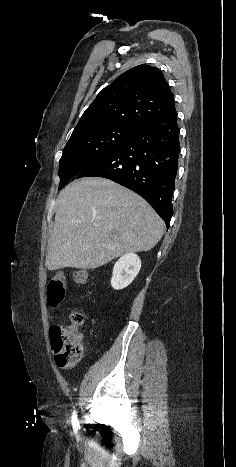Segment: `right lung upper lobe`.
Segmentation results:
<instances>
[{
	"label": "right lung upper lobe",
	"instance_id": "obj_1",
	"mask_svg": "<svg viewBox=\"0 0 236 467\" xmlns=\"http://www.w3.org/2000/svg\"><path fill=\"white\" fill-rule=\"evenodd\" d=\"M174 110L173 94L162 72L149 65H139L98 94L72 134L108 125L138 130Z\"/></svg>",
	"mask_w": 236,
	"mask_h": 467
}]
</instances>
